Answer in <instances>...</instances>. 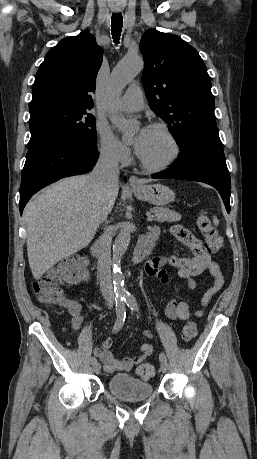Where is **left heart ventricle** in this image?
<instances>
[{"label": "left heart ventricle", "mask_w": 257, "mask_h": 459, "mask_svg": "<svg viewBox=\"0 0 257 459\" xmlns=\"http://www.w3.org/2000/svg\"><path fill=\"white\" fill-rule=\"evenodd\" d=\"M172 152L173 146L170 140L161 131L148 128L147 135L138 153L146 162L158 165L168 160Z\"/></svg>", "instance_id": "left-heart-ventricle-1"}]
</instances>
